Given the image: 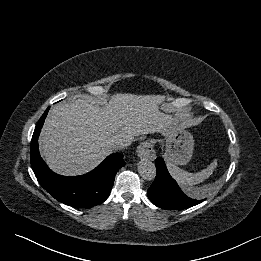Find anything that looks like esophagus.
Wrapping results in <instances>:
<instances>
[{
    "instance_id": "esophagus-1",
    "label": "esophagus",
    "mask_w": 261,
    "mask_h": 261,
    "mask_svg": "<svg viewBox=\"0 0 261 261\" xmlns=\"http://www.w3.org/2000/svg\"><path fill=\"white\" fill-rule=\"evenodd\" d=\"M137 154L140 158L146 160L152 161L156 158V152L151 141L142 142L137 149Z\"/></svg>"
}]
</instances>
